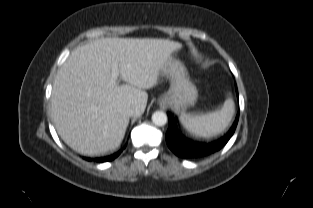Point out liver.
Returning <instances> with one entry per match:
<instances>
[{"mask_svg":"<svg viewBox=\"0 0 313 208\" xmlns=\"http://www.w3.org/2000/svg\"><path fill=\"white\" fill-rule=\"evenodd\" d=\"M181 48V43L168 39L114 37L73 50L57 72L51 96L53 121L62 140L83 155L116 150L129 124L120 106L134 102L132 116H141L148 100L145 90L158 84L164 64ZM119 76L126 84L118 85Z\"/></svg>","mask_w":313,"mask_h":208,"instance_id":"6515ba94","label":"liver"}]
</instances>
